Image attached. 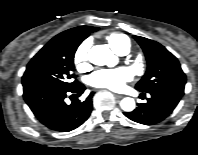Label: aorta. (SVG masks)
<instances>
[{
  "label": "aorta",
  "mask_w": 198,
  "mask_h": 155,
  "mask_svg": "<svg viewBox=\"0 0 198 155\" xmlns=\"http://www.w3.org/2000/svg\"><path fill=\"white\" fill-rule=\"evenodd\" d=\"M89 61L98 66H114L117 59L107 46L95 45L89 51ZM120 106L122 110L131 112L135 109V101L133 98L125 97L121 100Z\"/></svg>",
  "instance_id": "762f6f07"
}]
</instances>
